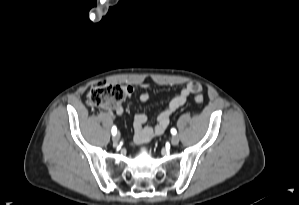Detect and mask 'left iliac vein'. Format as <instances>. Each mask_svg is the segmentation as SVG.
<instances>
[{"mask_svg":"<svg viewBox=\"0 0 299 205\" xmlns=\"http://www.w3.org/2000/svg\"><path fill=\"white\" fill-rule=\"evenodd\" d=\"M178 143H179V136L178 135H173L172 138H171V144L173 146H176V145H178Z\"/></svg>","mask_w":299,"mask_h":205,"instance_id":"obj_1","label":"left iliac vein"}]
</instances>
